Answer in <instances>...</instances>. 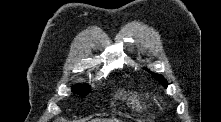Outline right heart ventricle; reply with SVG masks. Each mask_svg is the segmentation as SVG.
Instances as JSON below:
<instances>
[{"label": "right heart ventricle", "instance_id": "obj_1", "mask_svg": "<svg viewBox=\"0 0 221 122\" xmlns=\"http://www.w3.org/2000/svg\"><path fill=\"white\" fill-rule=\"evenodd\" d=\"M128 102L132 108L141 111L148 110L152 106L150 99L146 95L136 91L128 93Z\"/></svg>", "mask_w": 221, "mask_h": 122}]
</instances>
